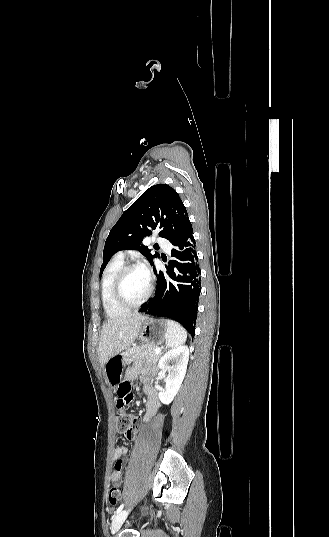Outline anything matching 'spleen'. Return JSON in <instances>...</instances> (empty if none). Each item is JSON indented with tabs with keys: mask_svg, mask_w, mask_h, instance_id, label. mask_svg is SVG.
I'll list each match as a JSON object with an SVG mask.
<instances>
[{
	"mask_svg": "<svg viewBox=\"0 0 329 537\" xmlns=\"http://www.w3.org/2000/svg\"><path fill=\"white\" fill-rule=\"evenodd\" d=\"M187 339L186 330L177 322L168 321V335L166 338L167 347H177L185 343Z\"/></svg>",
	"mask_w": 329,
	"mask_h": 537,
	"instance_id": "1",
	"label": "spleen"
}]
</instances>
